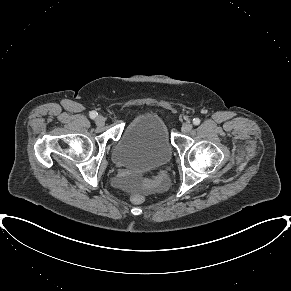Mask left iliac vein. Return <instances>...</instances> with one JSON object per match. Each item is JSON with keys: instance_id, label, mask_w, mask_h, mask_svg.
Returning <instances> with one entry per match:
<instances>
[{"instance_id": "left-iliac-vein-1", "label": "left iliac vein", "mask_w": 291, "mask_h": 291, "mask_svg": "<svg viewBox=\"0 0 291 291\" xmlns=\"http://www.w3.org/2000/svg\"><path fill=\"white\" fill-rule=\"evenodd\" d=\"M192 124L191 123H185L183 126H182V128H181V131L183 132V133H188V132H190L191 130H192Z\"/></svg>"}]
</instances>
